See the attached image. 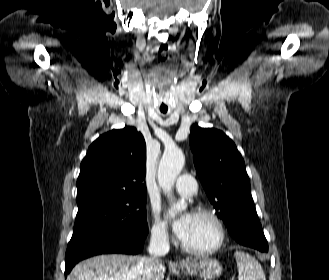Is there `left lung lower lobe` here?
<instances>
[{
  "mask_svg": "<svg viewBox=\"0 0 329 280\" xmlns=\"http://www.w3.org/2000/svg\"><path fill=\"white\" fill-rule=\"evenodd\" d=\"M229 233L242 245L255 248L261 252H268V243L254 205L250 207L248 221L241 225H234Z\"/></svg>",
  "mask_w": 329,
  "mask_h": 280,
  "instance_id": "obj_1",
  "label": "left lung lower lobe"
}]
</instances>
